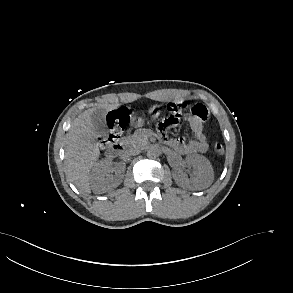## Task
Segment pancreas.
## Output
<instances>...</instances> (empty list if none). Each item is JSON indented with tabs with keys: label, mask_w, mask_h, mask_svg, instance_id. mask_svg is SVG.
I'll list each match as a JSON object with an SVG mask.
<instances>
[{
	"label": "pancreas",
	"mask_w": 293,
	"mask_h": 293,
	"mask_svg": "<svg viewBox=\"0 0 293 293\" xmlns=\"http://www.w3.org/2000/svg\"><path fill=\"white\" fill-rule=\"evenodd\" d=\"M149 130L137 129L134 134L125 139V143L134 147H142L148 143Z\"/></svg>",
	"instance_id": "obj_1"
}]
</instances>
